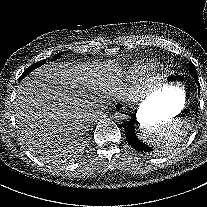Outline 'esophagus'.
Here are the masks:
<instances>
[{"label": "esophagus", "instance_id": "obj_1", "mask_svg": "<svg viewBox=\"0 0 207 207\" xmlns=\"http://www.w3.org/2000/svg\"><path fill=\"white\" fill-rule=\"evenodd\" d=\"M115 106L119 109H123L126 106V103L123 100H119L116 102Z\"/></svg>", "mask_w": 207, "mask_h": 207}]
</instances>
